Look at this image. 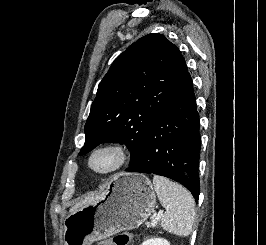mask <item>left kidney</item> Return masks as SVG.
Returning <instances> with one entry per match:
<instances>
[{"label":"left kidney","instance_id":"left-kidney-1","mask_svg":"<svg viewBox=\"0 0 266 245\" xmlns=\"http://www.w3.org/2000/svg\"><path fill=\"white\" fill-rule=\"evenodd\" d=\"M142 245H170V243L166 239H146Z\"/></svg>","mask_w":266,"mask_h":245}]
</instances>
